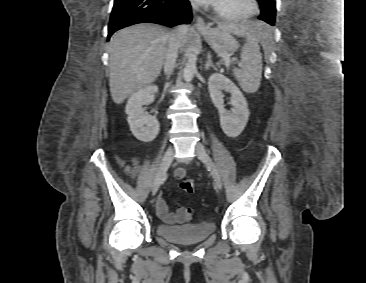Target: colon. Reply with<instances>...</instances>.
Instances as JSON below:
<instances>
[{
	"label": "colon",
	"instance_id": "colon-1",
	"mask_svg": "<svg viewBox=\"0 0 366 283\" xmlns=\"http://www.w3.org/2000/svg\"><path fill=\"white\" fill-rule=\"evenodd\" d=\"M180 186L185 192L192 193L195 190L196 184L193 179L187 178L181 182Z\"/></svg>",
	"mask_w": 366,
	"mask_h": 283
}]
</instances>
